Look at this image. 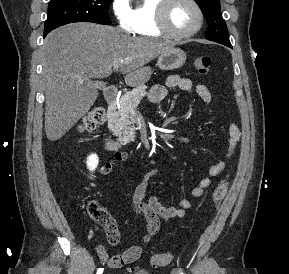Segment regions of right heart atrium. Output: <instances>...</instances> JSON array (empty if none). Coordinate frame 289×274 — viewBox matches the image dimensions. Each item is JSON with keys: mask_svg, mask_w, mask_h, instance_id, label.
<instances>
[{"mask_svg": "<svg viewBox=\"0 0 289 274\" xmlns=\"http://www.w3.org/2000/svg\"><path fill=\"white\" fill-rule=\"evenodd\" d=\"M111 12L119 28L126 32L132 31L133 17L129 0H112Z\"/></svg>", "mask_w": 289, "mask_h": 274, "instance_id": "d8ad5b80", "label": "right heart atrium"}]
</instances>
